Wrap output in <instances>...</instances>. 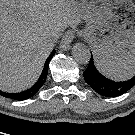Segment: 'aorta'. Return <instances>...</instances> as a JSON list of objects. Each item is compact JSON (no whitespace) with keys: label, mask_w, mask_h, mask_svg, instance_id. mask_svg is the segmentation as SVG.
I'll list each match as a JSON object with an SVG mask.
<instances>
[{"label":"aorta","mask_w":135,"mask_h":135,"mask_svg":"<svg viewBox=\"0 0 135 135\" xmlns=\"http://www.w3.org/2000/svg\"><path fill=\"white\" fill-rule=\"evenodd\" d=\"M72 55L74 60L79 64H87L91 58L89 48L82 43H77L73 46Z\"/></svg>","instance_id":"aorta-1"}]
</instances>
